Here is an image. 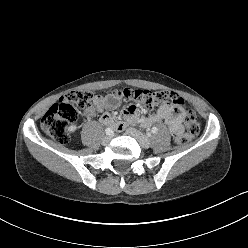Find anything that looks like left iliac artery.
<instances>
[{
	"label": "left iliac artery",
	"mask_w": 248,
	"mask_h": 248,
	"mask_svg": "<svg viewBox=\"0 0 248 248\" xmlns=\"http://www.w3.org/2000/svg\"><path fill=\"white\" fill-rule=\"evenodd\" d=\"M157 131H158V129H157L156 127H153V128L151 129V133H153V134L157 133Z\"/></svg>",
	"instance_id": "44dca946"
}]
</instances>
